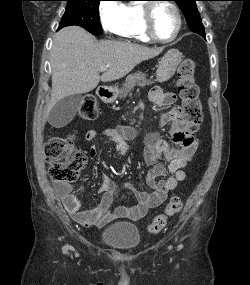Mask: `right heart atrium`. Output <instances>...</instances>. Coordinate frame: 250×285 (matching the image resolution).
<instances>
[{
  "label": "right heart atrium",
  "mask_w": 250,
  "mask_h": 285,
  "mask_svg": "<svg viewBox=\"0 0 250 285\" xmlns=\"http://www.w3.org/2000/svg\"><path fill=\"white\" fill-rule=\"evenodd\" d=\"M125 5L119 0H105L99 5V17L103 29L119 35L123 25Z\"/></svg>",
  "instance_id": "obj_1"
}]
</instances>
